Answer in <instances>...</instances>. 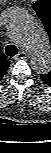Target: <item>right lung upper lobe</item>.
Wrapping results in <instances>:
<instances>
[{"label": "right lung upper lobe", "instance_id": "right-lung-upper-lobe-1", "mask_svg": "<svg viewBox=\"0 0 51 153\" xmlns=\"http://www.w3.org/2000/svg\"><path fill=\"white\" fill-rule=\"evenodd\" d=\"M8 66H9V62L6 59L4 53L0 49V80L2 79L4 74L6 73Z\"/></svg>", "mask_w": 51, "mask_h": 153}]
</instances>
